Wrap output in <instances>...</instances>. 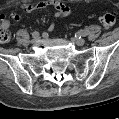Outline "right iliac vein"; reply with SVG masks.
Here are the masks:
<instances>
[{
    "label": "right iliac vein",
    "instance_id": "63e3f726",
    "mask_svg": "<svg viewBox=\"0 0 119 119\" xmlns=\"http://www.w3.org/2000/svg\"><path fill=\"white\" fill-rule=\"evenodd\" d=\"M39 40V36L37 37H33V39L31 40V42L34 44Z\"/></svg>",
    "mask_w": 119,
    "mask_h": 119
}]
</instances>
